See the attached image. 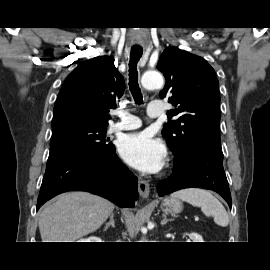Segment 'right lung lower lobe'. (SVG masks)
Listing matches in <instances>:
<instances>
[{
  "label": "right lung lower lobe",
  "instance_id": "obj_1",
  "mask_svg": "<svg viewBox=\"0 0 270 270\" xmlns=\"http://www.w3.org/2000/svg\"><path fill=\"white\" fill-rule=\"evenodd\" d=\"M138 179L115 152L78 144L50 148L37 210L54 196L82 190L102 196L119 207H134L138 198Z\"/></svg>",
  "mask_w": 270,
  "mask_h": 270
}]
</instances>
